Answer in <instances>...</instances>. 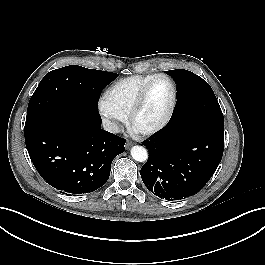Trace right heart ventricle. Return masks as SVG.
Here are the masks:
<instances>
[{
	"instance_id": "e07e8e85",
	"label": "right heart ventricle",
	"mask_w": 265,
	"mask_h": 265,
	"mask_svg": "<svg viewBox=\"0 0 265 265\" xmlns=\"http://www.w3.org/2000/svg\"><path fill=\"white\" fill-rule=\"evenodd\" d=\"M155 74L135 75L112 84L104 95V101L113 110L127 117L143 87Z\"/></svg>"
}]
</instances>
